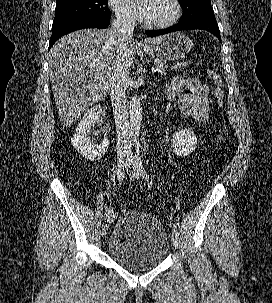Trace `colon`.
<instances>
[{"label": "colon", "instance_id": "1", "mask_svg": "<svg viewBox=\"0 0 272 303\" xmlns=\"http://www.w3.org/2000/svg\"><path fill=\"white\" fill-rule=\"evenodd\" d=\"M191 61L187 60V59H179L176 60L172 63L171 65V70L175 73L181 72L184 69H186L187 67H189L191 65ZM208 75L210 76V78L213 80L214 84H215V99L216 102L219 106H222L224 103V91L222 89V84H221V79L220 77L212 72V71H208ZM121 211L123 213H125L127 211V207L125 205L121 206Z\"/></svg>", "mask_w": 272, "mask_h": 303}]
</instances>
